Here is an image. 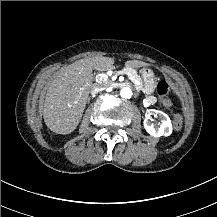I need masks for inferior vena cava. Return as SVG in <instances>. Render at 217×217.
<instances>
[{
	"mask_svg": "<svg viewBox=\"0 0 217 217\" xmlns=\"http://www.w3.org/2000/svg\"><path fill=\"white\" fill-rule=\"evenodd\" d=\"M104 88L102 87V85L100 84H95L92 89H91V93L95 92V91H102Z\"/></svg>",
	"mask_w": 217,
	"mask_h": 217,
	"instance_id": "inferior-vena-cava-1",
	"label": "inferior vena cava"
}]
</instances>
